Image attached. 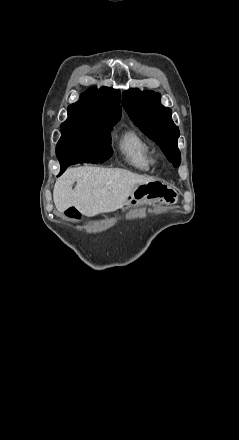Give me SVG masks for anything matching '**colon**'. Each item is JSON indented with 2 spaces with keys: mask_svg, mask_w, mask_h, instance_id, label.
Segmentation results:
<instances>
[{
  "mask_svg": "<svg viewBox=\"0 0 239 440\" xmlns=\"http://www.w3.org/2000/svg\"><path fill=\"white\" fill-rule=\"evenodd\" d=\"M68 213H69L70 216H75V214H76L74 209H69Z\"/></svg>",
  "mask_w": 239,
  "mask_h": 440,
  "instance_id": "5ec220e1",
  "label": "colon"
}]
</instances>
